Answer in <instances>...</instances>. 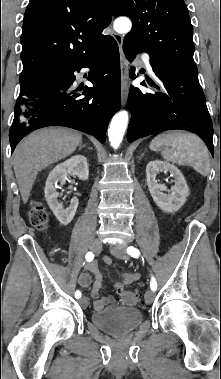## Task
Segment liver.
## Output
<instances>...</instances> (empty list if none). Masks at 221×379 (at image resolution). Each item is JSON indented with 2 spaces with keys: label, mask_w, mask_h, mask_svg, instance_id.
Masks as SVG:
<instances>
[{
  "label": "liver",
  "mask_w": 221,
  "mask_h": 379,
  "mask_svg": "<svg viewBox=\"0 0 221 379\" xmlns=\"http://www.w3.org/2000/svg\"><path fill=\"white\" fill-rule=\"evenodd\" d=\"M82 135L67 128H43L29 134L16 147L13 167L21 197L27 203L38 173L70 154Z\"/></svg>",
  "instance_id": "obj_1"
}]
</instances>
